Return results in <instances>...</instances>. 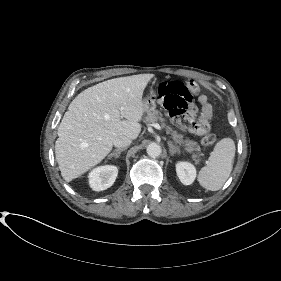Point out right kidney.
Segmentation results:
<instances>
[{
    "instance_id": "ca27d5eb",
    "label": "right kidney",
    "mask_w": 281,
    "mask_h": 281,
    "mask_svg": "<svg viewBox=\"0 0 281 281\" xmlns=\"http://www.w3.org/2000/svg\"><path fill=\"white\" fill-rule=\"evenodd\" d=\"M118 168L104 165L94 168L88 175L90 187L94 191H102L111 187L116 180Z\"/></svg>"
}]
</instances>
